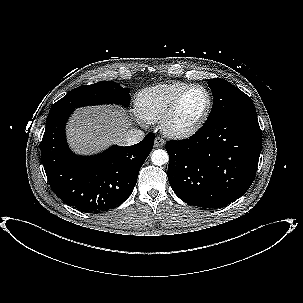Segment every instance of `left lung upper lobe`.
Returning a JSON list of instances; mask_svg holds the SVG:
<instances>
[{"label": "left lung upper lobe", "instance_id": "5c2ea615", "mask_svg": "<svg viewBox=\"0 0 303 303\" xmlns=\"http://www.w3.org/2000/svg\"><path fill=\"white\" fill-rule=\"evenodd\" d=\"M206 81L214 96L213 107L207 122L229 115L256 111L251 98L230 82L221 78Z\"/></svg>", "mask_w": 303, "mask_h": 303}]
</instances>
